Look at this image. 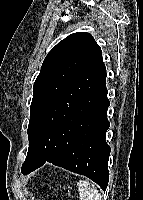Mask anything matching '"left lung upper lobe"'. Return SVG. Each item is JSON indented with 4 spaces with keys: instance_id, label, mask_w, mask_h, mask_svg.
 Listing matches in <instances>:
<instances>
[{
    "instance_id": "5c2ea615",
    "label": "left lung upper lobe",
    "mask_w": 143,
    "mask_h": 200,
    "mask_svg": "<svg viewBox=\"0 0 143 200\" xmlns=\"http://www.w3.org/2000/svg\"><path fill=\"white\" fill-rule=\"evenodd\" d=\"M101 52L92 35L77 32L60 41L46 56L33 87L28 125L29 148L22 169L31 157L32 128L43 108L66 88L86 66Z\"/></svg>"
}]
</instances>
